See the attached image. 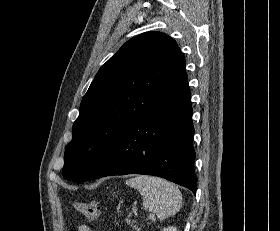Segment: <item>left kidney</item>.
<instances>
[{"label": "left kidney", "instance_id": "obj_1", "mask_svg": "<svg viewBox=\"0 0 280 231\" xmlns=\"http://www.w3.org/2000/svg\"><path fill=\"white\" fill-rule=\"evenodd\" d=\"M163 231H177V229L173 225H170V227H164Z\"/></svg>", "mask_w": 280, "mask_h": 231}]
</instances>
